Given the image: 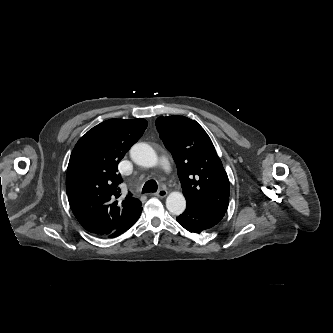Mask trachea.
I'll use <instances>...</instances> for the list:
<instances>
[{"label": "trachea", "mask_w": 333, "mask_h": 333, "mask_svg": "<svg viewBox=\"0 0 333 333\" xmlns=\"http://www.w3.org/2000/svg\"><path fill=\"white\" fill-rule=\"evenodd\" d=\"M158 189V185L155 180H149L147 181L143 188L142 193H150V192H156Z\"/></svg>", "instance_id": "1"}]
</instances>
